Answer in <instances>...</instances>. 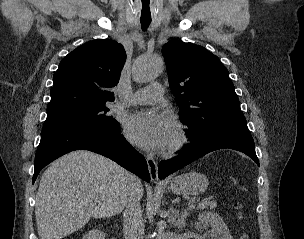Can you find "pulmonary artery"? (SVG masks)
I'll use <instances>...</instances> for the list:
<instances>
[{"mask_svg":"<svg viewBox=\"0 0 304 239\" xmlns=\"http://www.w3.org/2000/svg\"><path fill=\"white\" fill-rule=\"evenodd\" d=\"M163 87L159 83H153L148 87L137 90L123 102L122 106L136 104H155L163 100Z\"/></svg>","mask_w":304,"mask_h":239,"instance_id":"pulmonary-artery-1","label":"pulmonary artery"}]
</instances>
